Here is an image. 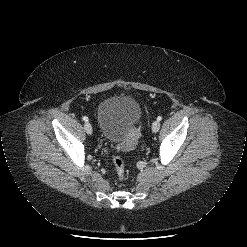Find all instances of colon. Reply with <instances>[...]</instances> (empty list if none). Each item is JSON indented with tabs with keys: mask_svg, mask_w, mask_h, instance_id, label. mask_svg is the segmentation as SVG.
<instances>
[{
	"mask_svg": "<svg viewBox=\"0 0 247 247\" xmlns=\"http://www.w3.org/2000/svg\"><path fill=\"white\" fill-rule=\"evenodd\" d=\"M113 165L116 171V174L120 180L124 179L125 176V165L123 159L118 156L114 155L113 156Z\"/></svg>",
	"mask_w": 247,
	"mask_h": 247,
	"instance_id": "obj_1",
	"label": "colon"
}]
</instances>
